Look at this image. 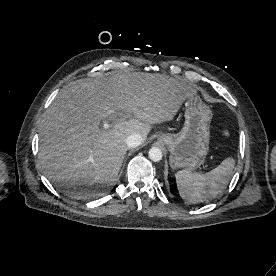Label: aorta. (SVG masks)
<instances>
[{
    "instance_id": "1",
    "label": "aorta",
    "mask_w": 276,
    "mask_h": 276,
    "mask_svg": "<svg viewBox=\"0 0 276 276\" xmlns=\"http://www.w3.org/2000/svg\"><path fill=\"white\" fill-rule=\"evenodd\" d=\"M148 154H149V158L154 162H158L162 160V157H163L162 151L158 147H152L149 150Z\"/></svg>"
}]
</instances>
